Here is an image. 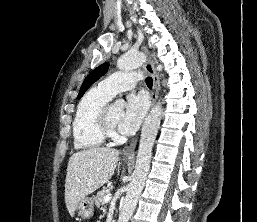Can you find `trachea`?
<instances>
[{
    "mask_svg": "<svg viewBox=\"0 0 257 222\" xmlns=\"http://www.w3.org/2000/svg\"><path fill=\"white\" fill-rule=\"evenodd\" d=\"M146 84H147L148 88H152L153 80L151 77L146 78Z\"/></svg>",
    "mask_w": 257,
    "mask_h": 222,
    "instance_id": "obj_1",
    "label": "trachea"
}]
</instances>
